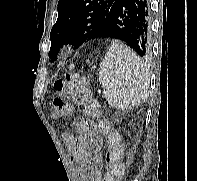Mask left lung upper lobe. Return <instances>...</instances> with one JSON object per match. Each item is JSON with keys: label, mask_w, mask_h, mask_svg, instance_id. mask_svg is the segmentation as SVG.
<instances>
[{"label": "left lung upper lobe", "mask_w": 197, "mask_h": 181, "mask_svg": "<svg viewBox=\"0 0 197 181\" xmlns=\"http://www.w3.org/2000/svg\"><path fill=\"white\" fill-rule=\"evenodd\" d=\"M115 0H59L58 18L50 33V58L55 60L64 44L80 46L96 39Z\"/></svg>", "instance_id": "left-lung-upper-lobe-1"}]
</instances>
